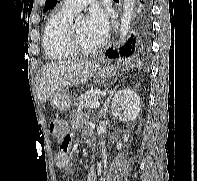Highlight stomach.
Masks as SVG:
<instances>
[{
	"instance_id": "1",
	"label": "stomach",
	"mask_w": 197,
	"mask_h": 181,
	"mask_svg": "<svg viewBox=\"0 0 197 181\" xmlns=\"http://www.w3.org/2000/svg\"><path fill=\"white\" fill-rule=\"evenodd\" d=\"M118 70L119 67L111 64L110 62L105 63V65L98 64L96 75L103 80L109 79L115 76ZM50 101L53 108L60 112H65L71 108L73 96L66 89L61 88L51 96Z\"/></svg>"
}]
</instances>
